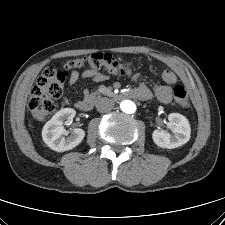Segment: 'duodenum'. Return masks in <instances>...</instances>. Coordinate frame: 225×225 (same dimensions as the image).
<instances>
[{"label":"duodenum","mask_w":225,"mask_h":225,"mask_svg":"<svg viewBox=\"0 0 225 225\" xmlns=\"http://www.w3.org/2000/svg\"><path fill=\"white\" fill-rule=\"evenodd\" d=\"M126 96H131L132 92H128L125 94ZM95 103V96L94 95H88L84 98H82L80 101L77 102L76 106L79 110L87 112L90 111Z\"/></svg>","instance_id":"duodenum-1"}]
</instances>
